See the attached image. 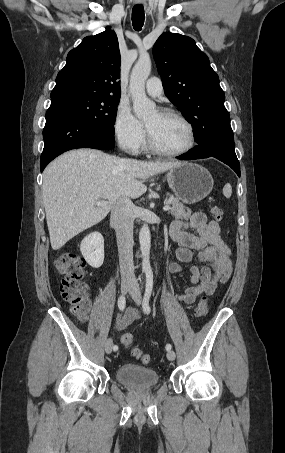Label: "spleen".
Returning a JSON list of instances; mask_svg holds the SVG:
<instances>
[{
	"label": "spleen",
	"mask_w": 285,
	"mask_h": 453,
	"mask_svg": "<svg viewBox=\"0 0 285 453\" xmlns=\"http://www.w3.org/2000/svg\"><path fill=\"white\" fill-rule=\"evenodd\" d=\"M223 194L226 198L231 197L232 187H231L230 183L225 184V186L223 187Z\"/></svg>",
	"instance_id": "3e777b00"
}]
</instances>
